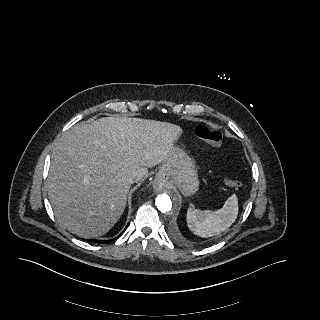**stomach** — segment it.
Instances as JSON below:
<instances>
[{
  "label": "stomach",
  "mask_w": 320,
  "mask_h": 320,
  "mask_svg": "<svg viewBox=\"0 0 320 320\" xmlns=\"http://www.w3.org/2000/svg\"><path fill=\"white\" fill-rule=\"evenodd\" d=\"M155 182L158 186L178 189L183 195L191 196L198 191L199 179L194 161L176 146L163 161Z\"/></svg>",
  "instance_id": "1"
}]
</instances>
